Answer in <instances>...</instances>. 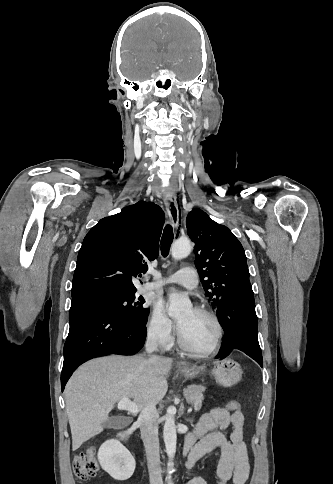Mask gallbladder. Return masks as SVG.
<instances>
[{"instance_id": "obj_1", "label": "gallbladder", "mask_w": 333, "mask_h": 484, "mask_svg": "<svg viewBox=\"0 0 333 484\" xmlns=\"http://www.w3.org/2000/svg\"><path fill=\"white\" fill-rule=\"evenodd\" d=\"M122 426L121 416H111L103 423V427L106 429H119Z\"/></svg>"}]
</instances>
